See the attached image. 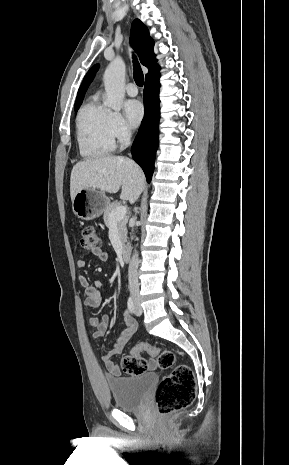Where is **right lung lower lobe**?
Masks as SVG:
<instances>
[{"mask_svg":"<svg viewBox=\"0 0 289 465\" xmlns=\"http://www.w3.org/2000/svg\"><path fill=\"white\" fill-rule=\"evenodd\" d=\"M159 88V76L145 80L143 94L145 116L131 148L132 157L143 169L148 182H150L154 171L155 154L158 146Z\"/></svg>","mask_w":289,"mask_h":465,"instance_id":"right-lung-lower-lobe-1","label":"right lung lower lobe"}]
</instances>
